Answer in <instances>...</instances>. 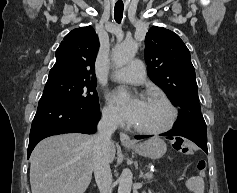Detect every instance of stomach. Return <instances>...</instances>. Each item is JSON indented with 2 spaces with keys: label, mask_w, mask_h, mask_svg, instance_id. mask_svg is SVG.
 <instances>
[{
  "label": "stomach",
  "mask_w": 237,
  "mask_h": 193,
  "mask_svg": "<svg viewBox=\"0 0 237 193\" xmlns=\"http://www.w3.org/2000/svg\"><path fill=\"white\" fill-rule=\"evenodd\" d=\"M128 148L132 149L138 155L151 159L161 158L167 151L166 143L158 137L150 138L143 143L129 146Z\"/></svg>",
  "instance_id": "0dacf381"
}]
</instances>
